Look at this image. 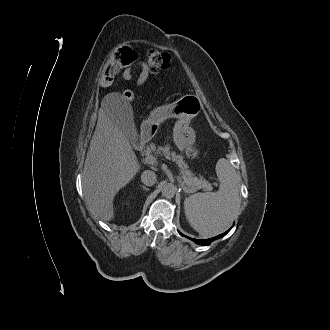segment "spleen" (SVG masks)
<instances>
[{
  "instance_id": "spleen-1",
  "label": "spleen",
  "mask_w": 330,
  "mask_h": 330,
  "mask_svg": "<svg viewBox=\"0 0 330 330\" xmlns=\"http://www.w3.org/2000/svg\"><path fill=\"white\" fill-rule=\"evenodd\" d=\"M216 174L220 181L217 192L196 193L184 201L189 224L204 238L223 232L240 207L238 174L227 159L217 161Z\"/></svg>"
}]
</instances>
